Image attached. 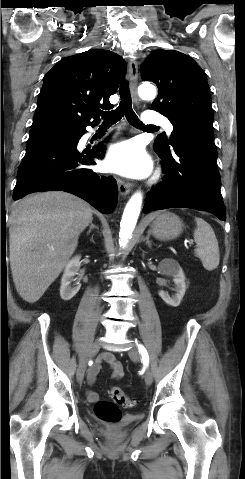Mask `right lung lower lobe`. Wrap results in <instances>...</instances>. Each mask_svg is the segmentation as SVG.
Wrapping results in <instances>:
<instances>
[{"label": "right lung lower lobe", "instance_id": "right-lung-lower-lobe-1", "mask_svg": "<svg viewBox=\"0 0 245 479\" xmlns=\"http://www.w3.org/2000/svg\"><path fill=\"white\" fill-rule=\"evenodd\" d=\"M85 133L86 127L28 145L18 169L13 199L33 192L65 191L110 214L117 204V182L87 168L96 164L95 158L104 157L105 147L100 144L79 152L77 144Z\"/></svg>", "mask_w": 245, "mask_h": 479}]
</instances>
